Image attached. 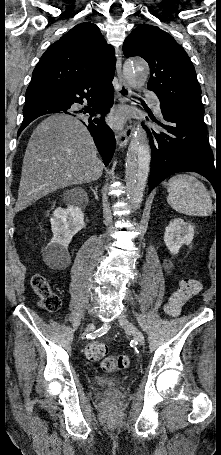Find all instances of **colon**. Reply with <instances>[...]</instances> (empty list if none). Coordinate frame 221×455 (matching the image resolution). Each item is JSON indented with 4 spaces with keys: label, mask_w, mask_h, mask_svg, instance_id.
<instances>
[{
    "label": "colon",
    "mask_w": 221,
    "mask_h": 455,
    "mask_svg": "<svg viewBox=\"0 0 221 455\" xmlns=\"http://www.w3.org/2000/svg\"><path fill=\"white\" fill-rule=\"evenodd\" d=\"M31 287L34 293L39 297V305L47 312L55 313L60 309L61 300L48 282L40 274H36L31 279ZM201 290V284L197 279L189 278L183 280L179 288L170 296L165 310L169 316L176 317L182 306L191 298L196 296ZM85 354L88 359L101 361V368L106 372H114L126 369L130 365V358L127 355L109 356L107 347L101 342H90L85 348Z\"/></svg>",
    "instance_id": "obj_1"
}]
</instances>
